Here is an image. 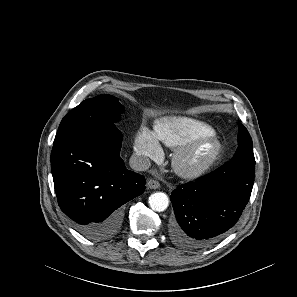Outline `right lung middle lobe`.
<instances>
[{"mask_svg":"<svg viewBox=\"0 0 297 297\" xmlns=\"http://www.w3.org/2000/svg\"><path fill=\"white\" fill-rule=\"evenodd\" d=\"M123 106L111 95L87 99L72 109L61 121L55 139L99 129L116 130Z\"/></svg>","mask_w":297,"mask_h":297,"instance_id":"right-lung-middle-lobe-1","label":"right lung middle lobe"}]
</instances>
